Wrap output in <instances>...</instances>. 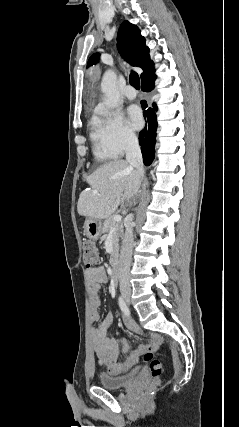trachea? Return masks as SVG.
<instances>
[{"label":"trachea","instance_id":"obj_1","mask_svg":"<svg viewBox=\"0 0 239 427\" xmlns=\"http://www.w3.org/2000/svg\"><path fill=\"white\" fill-rule=\"evenodd\" d=\"M129 82L137 90L140 89V79H139V75L136 72L132 71L130 73Z\"/></svg>","mask_w":239,"mask_h":427}]
</instances>
